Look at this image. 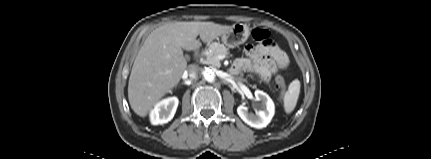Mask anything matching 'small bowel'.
<instances>
[{"instance_id": "small-bowel-1", "label": "small bowel", "mask_w": 431, "mask_h": 159, "mask_svg": "<svg viewBox=\"0 0 431 159\" xmlns=\"http://www.w3.org/2000/svg\"><path fill=\"white\" fill-rule=\"evenodd\" d=\"M245 53L247 57L239 59L233 70H252L265 82H268L273 74L288 65L287 55L272 40L268 44L247 45Z\"/></svg>"}]
</instances>
